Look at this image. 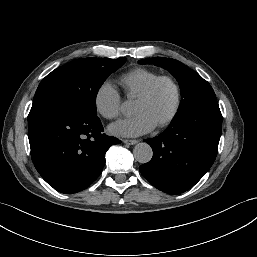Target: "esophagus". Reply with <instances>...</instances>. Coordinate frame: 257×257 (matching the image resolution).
Masks as SVG:
<instances>
[{
	"label": "esophagus",
	"instance_id": "obj_1",
	"mask_svg": "<svg viewBox=\"0 0 257 257\" xmlns=\"http://www.w3.org/2000/svg\"><path fill=\"white\" fill-rule=\"evenodd\" d=\"M123 143L128 144V145H135L138 143V140H129V139H124Z\"/></svg>",
	"mask_w": 257,
	"mask_h": 257
}]
</instances>
